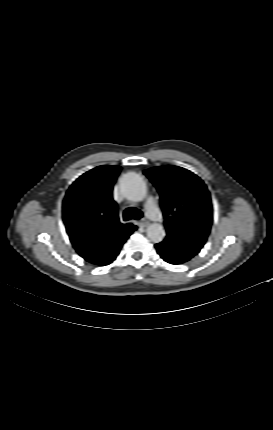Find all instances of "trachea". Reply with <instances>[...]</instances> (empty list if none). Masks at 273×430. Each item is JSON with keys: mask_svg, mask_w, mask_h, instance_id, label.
<instances>
[{"mask_svg": "<svg viewBox=\"0 0 273 430\" xmlns=\"http://www.w3.org/2000/svg\"><path fill=\"white\" fill-rule=\"evenodd\" d=\"M142 216H143L142 212L139 209L133 208V207L127 208L123 214V218L125 221L132 220V219L139 220L142 218Z\"/></svg>", "mask_w": 273, "mask_h": 430, "instance_id": "3493384b", "label": "trachea"}]
</instances>
